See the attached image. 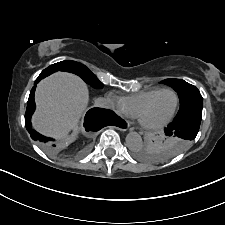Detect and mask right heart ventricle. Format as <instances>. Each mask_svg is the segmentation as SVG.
Listing matches in <instances>:
<instances>
[{
  "label": "right heart ventricle",
  "instance_id": "e07e8e85",
  "mask_svg": "<svg viewBox=\"0 0 225 225\" xmlns=\"http://www.w3.org/2000/svg\"><path fill=\"white\" fill-rule=\"evenodd\" d=\"M160 89L161 88H152L142 90L121 98L126 113L136 117L143 104Z\"/></svg>",
  "mask_w": 225,
  "mask_h": 225
}]
</instances>
